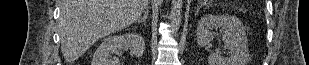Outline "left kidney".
<instances>
[{
  "instance_id": "left-kidney-1",
  "label": "left kidney",
  "mask_w": 309,
  "mask_h": 65,
  "mask_svg": "<svg viewBox=\"0 0 309 65\" xmlns=\"http://www.w3.org/2000/svg\"><path fill=\"white\" fill-rule=\"evenodd\" d=\"M214 29H220L222 39L228 49L226 57L220 52L208 57L210 65H246L248 60V40L243 23L233 15H206L198 21L197 44L205 47L214 39Z\"/></svg>"
}]
</instances>
